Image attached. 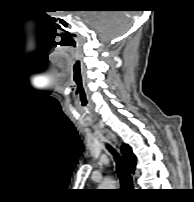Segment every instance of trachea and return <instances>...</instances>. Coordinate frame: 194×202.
I'll return each instance as SVG.
<instances>
[{
    "mask_svg": "<svg viewBox=\"0 0 194 202\" xmlns=\"http://www.w3.org/2000/svg\"><path fill=\"white\" fill-rule=\"evenodd\" d=\"M109 151L113 154L116 161L117 174L120 179L122 187L131 188L133 186V180L129 173V169L125 161L115 152V150L107 145Z\"/></svg>",
    "mask_w": 194,
    "mask_h": 202,
    "instance_id": "obj_1",
    "label": "trachea"
}]
</instances>
